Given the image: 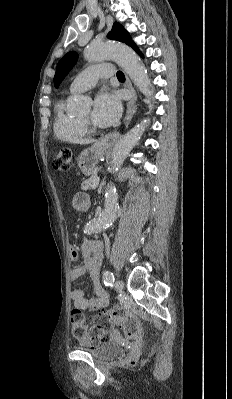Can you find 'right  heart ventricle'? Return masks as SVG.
Listing matches in <instances>:
<instances>
[{
  "label": "right heart ventricle",
  "instance_id": "right-heart-ventricle-1",
  "mask_svg": "<svg viewBox=\"0 0 232 399\" xmlns=\"http://www.w3.org/2000/svg\"><path fill=\"white\" fill-rule=\"evenodd\" d=\"M52 129L56 139L71 144L80 143L87 134L78 117L68 114L63 102H58L54 107Z\"/></svg>",
  "mask_w": 232,
  "mask_h": 399
}]
</instances>
